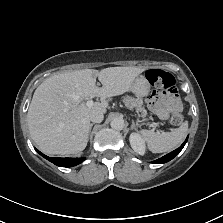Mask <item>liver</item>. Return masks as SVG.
<instances>
[{
  "mask_svg": "<svg viewBox=\"0 0 223 223\" xmlns=\"http://www.w3.org/2000/svg\"><path fill=\"white\" fill-rule=\"evenodd\" d=\"M147 68L111 67L101 70L84 69L54 75L35 91L28 110V126L32 139L45 154H75L88 142L90 113L105 111L106 97L130 90L134 78ZM100 97L101 103L91 108L83 98ZM80 104V105H79Z\"/></svg>",
  "mask_w": 223,
  "mask_h": 223,
  "instance_id": "obj_1",
  "label": "liver"
}]
</instances>
